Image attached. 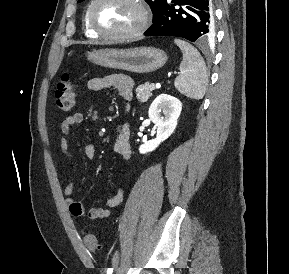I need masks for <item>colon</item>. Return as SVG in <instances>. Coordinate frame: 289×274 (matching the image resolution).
Masks as SVG:
<instances>
[{
  "label": "colon",
  "mask_w": 289,
  "mask_h": 274,
  "mask_svg": "<svg viewBox=\"0 0 289 274\" xmlns=\"http://www.w3.org/2000/svg\"><path fill=\"white\" fill-rule=\"evenodd\" d=\"M76 97V87L69 73H64L57 84L55 91V103L60 111L68 112L72 109ZM86 248L91 252H97L100 245L96 237L87 233L84 235Z\"/></svg>",
  "instance_id": "5ec220e1"
}]
</instances>
